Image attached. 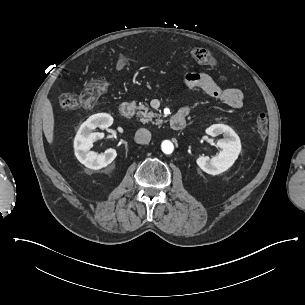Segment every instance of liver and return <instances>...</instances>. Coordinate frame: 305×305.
I'll return each instance as SVG.
<instances>
[{
	"label": "liver",
	"mask_w": 305,
	"mask_h": 305,
	"mask_svg": "<svg viewBox=\"0 0 305 305\" xmlns=\"http://www.w3.org/2000/svg\"><path fill=\"white\" fill-rule=\"evenodd\" d=\"M43 131L49 145L54 144L55 140V117L52 102L49 98H45L43 107Z\"/></svg>",
	"instance_id": "6515ba94"
}]
</instances>
